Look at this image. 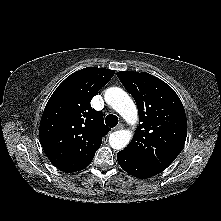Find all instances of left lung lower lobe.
I'll list each match as a JSON object with an SVG mask.
<instances>
[{"label": "left lung lower lobe", "mask_w": 221, "mask_h": 221, "mask_svg": "<svg viewBox=\"0 0 221 221\" xmlns=\"http://www.w3.org/2000/svg\"><path fill=\"white\" fill-rule=\"evenodd\" d=\"M117 160L123 170L137 178H149L163 171L135 158L123 150L117 154Z\"/></svg>", "instance_id": "0a47b994"}]
</instances>
